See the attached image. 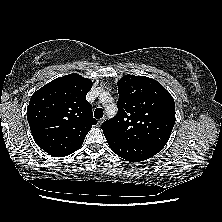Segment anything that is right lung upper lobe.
Instances as JSON below:
<instances>
[{"instance_id": "right-lung-upper-lobe-1", "label": "right lung upper lobe", "mask_w": 222, "mask_h": 222, "mask_svg": "<svg viewBox=\"0 0 222 222\" xmlns=\"http://www.w3.org/2000/svg\"><path fill=\"white\" fill-rule=\"evenodd\" d=\"M92 82L79 74L59 77L36 91L27 120L35 142L54 157L78 150L97 121L86 95Z\"/></svg>"}]
</instances>
